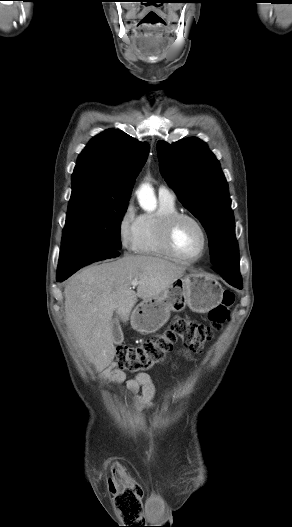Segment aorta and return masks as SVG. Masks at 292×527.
Listing matches in <instances>:
<instances>
[{
  "label": "aorta",
  "mask_w": 292,
  "mask_h": 527,
  "mask_svg": "<svg viewBox=\"0 0 292 527\" xmlns=\"http://www.w3.org/2000/svg\"><path fill=\"white\" fill-rule=\"evenodd\" d=\"M140 205L148 211L154 210L156 207V199L153 188L150 184L145 183L141 186L138 194Z\"/></svg>",
  "instance_id": "762f6f07"
}]
</instances>
